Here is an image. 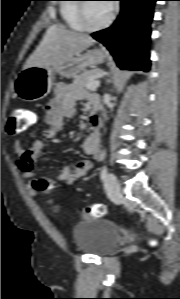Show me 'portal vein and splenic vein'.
Returning <instances> with one entry per match:
<instances>
[{"label": "portal vein and splenic vein", "mask_w": 180, "mask_h": 299, "mask_svg": "<svg viewBox=\"0 0 180 299\" xmlns=\"http://www.w3.org/2000/svg\"><path fill=\"white\" fill-rule=\"evenodd\" d=\"M100 85V81L99 80H95L92 81L90 84H88L87 89L89 90H95L96 88H98Z\"/></svg>", "instance_id": "obj_1"}]
</instances>
